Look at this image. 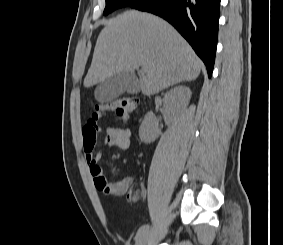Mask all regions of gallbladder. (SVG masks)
<instances>
[{
  "label": "gallbladder",
  "mask_w": 283,
  "mask_h": 245,
  "mask_svg": "<svg viewBox=\"0 0 283 245\" xmlns=\"http://www.w3.org/2000/svg\"><path fill=\"white\" fill-rule=\"evenodd\" d=\"M139 80L131 72H120L101 82L95 89V99L101 103L115 100L123 93H138Z\"/></svg>",
  "instance_id": "obj_1"
}]
</instances>
